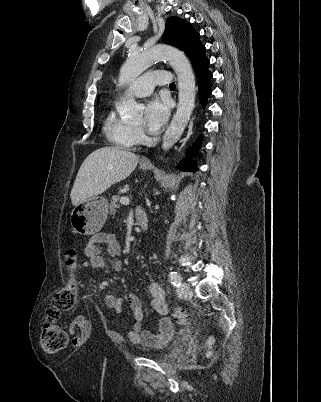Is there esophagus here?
I'll return each instance as SVG.
<instances>
[{
    "label": "esophagus",
    "instance_id": "esophagus-1",
    "mask_svg": "<svg viewBox=\"0 0 321 402\" xmlns=\"http://www.w3.org/2000/svg\"><path fill=\"white\" fill-rule=\"evenodd\" d=\"M141 163H143V164H151V161L147 157H144V158H142Z\"/></svg>",
    "mask_w": 321,
    "mask_h": 402
}]
</instances>
